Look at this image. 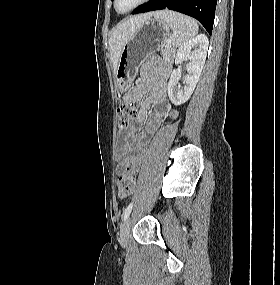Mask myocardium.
<instances>
[{"label":"myocardium","instance_id":"f54148a6","mask_svg":"<svg viewBox=\"0 0 280 285\" xmlns=\"http://www.w3.org/2000/svg\"><path fill=\"white\" fill-rule=\"evenodd\" d=\"M147 1L148 0H138L132 7H130L129 9H127L125 11H120L118 9V0H114L113 1V6H114V9L116 10L117 13H119V14H126V13L134 11L135 9H137L139 6L143 5Z\"/></svg>","mask_w":280,"mask_h":285}]
</instances>
